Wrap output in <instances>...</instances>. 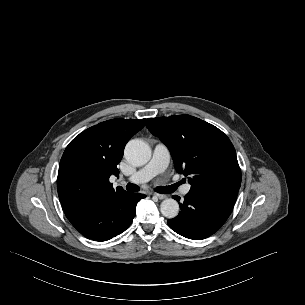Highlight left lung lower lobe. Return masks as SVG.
<instances>
[{"label": "left lung lower lobe", "mask_w": 305, "mask_h": 305, "mask_svg": "<svg viewBox=\"0 0 305 305\" xmlns=\"http://www.w3.org/2000/svg\"><path fill=\"white\" fill-rule=\"evenodd\" d=\"M239 189L223 188L217 190L190 189L178 216L167 221L176 233L194 240L207 238L218 231L229 217L235 204Z\"/></svg>", "instance_id": "0a47b994"}]
</instances>
